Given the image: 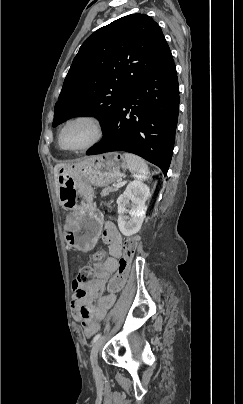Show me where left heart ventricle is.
I'll list each match as a JSON object with an SVG mask.
<instances>
[{
	"label": "left heart ventricle",
	"instance_id": "left-heart-ventricle-1",
	"mask_svg": "<svg viewBox=\"0 0 243 404\" xmlns=\"http://www.w3.org/2000/svg\"><path fill=\"white\" fill-rule=\"evenodd\" d=\"M96 136L94 124L85 119L71 122L62 134V144L68 148H82L91 143Z\"/></svg>",
	"mask_w": 243,
	"mask_h": 404
}]
</instances>
